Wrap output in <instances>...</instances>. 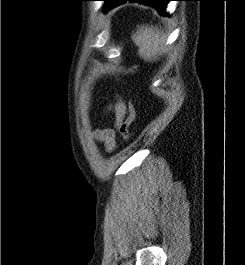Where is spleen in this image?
Returning a JSON list of instances; mask_svg holds the SVG:
<instances>
[{"label": "spleen", "mask_w": 245, "mask_h": 265, "mask_svg": "<svg viewBox=\"0 0 245 265\" xmlns=\"http://www.w3.org/2000/svg\"><path fill=\"white\" fill-rule=\"evenodd\" d=\"M133 42L139 47V55L146 61H152L161 55L165 47L166 37L153 26H141L132 36Z\"/></svg>", "instance_id": "spleen-1"}]
</instances>
